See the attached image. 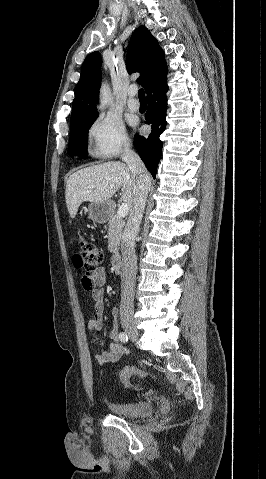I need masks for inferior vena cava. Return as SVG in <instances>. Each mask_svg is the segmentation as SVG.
<instances>
[{"label": "inferior vena cava", "instance_id": "obj_1", "mask_svg": "<svg viewBox=\"0 0 266 479\" xmlns=\"http://www.w3.org/2000/svg\"><path fill=\"white\" fill-rule=\"evenodd\" d=\"M122 160L128 165L136 181V197L133 208L123 234L121 245L122 272H121V303L120 319H132L134 314L135 280L137 272V257L135 254V238L138 234L151 179L140 157L127 144Z\"/></svg>", "mask_w": 266, "mask_h": 479}]
</instances>
